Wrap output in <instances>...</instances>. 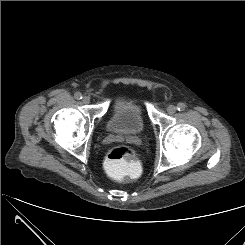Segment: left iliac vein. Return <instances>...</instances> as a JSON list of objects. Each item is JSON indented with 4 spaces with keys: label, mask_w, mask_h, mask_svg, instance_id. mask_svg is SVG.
<instances>
[{
    "label": "left iliac vein",
    "mask_w": 245,
    "mask_h": 245,
    "mask_svg": "<svg viewBox=\"0 0 245 245\" xmlns=\"http://www.w3.org/2000/svg\"><path fill=\"white\" fill-rule=\"evenodd\" d=\"M176 111H177V108H176L174 105H169V106L167 107V112H168L170 115L174 114Z\"/></svg>",
    "instance_id": "left-iliac-vein-1"
}]
</instances>
